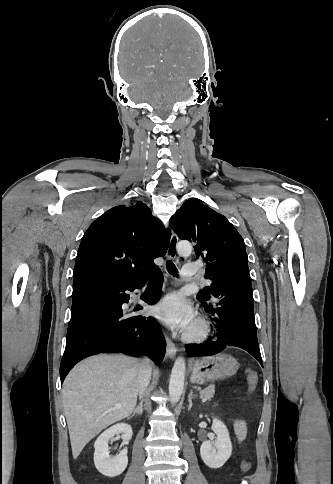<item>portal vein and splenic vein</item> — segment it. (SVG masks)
<instances>
[{"label": "portal vein and splenic vein", "instance_id": "1", "mask_svg": "<svg viewBox=\"0 0 333 484\" xmlns=\"http://www.w3.org/2000/svg\"><path fill=\"white\" fill-rule=\"evenodd\" d=\"M115 408H121V405L120 404H116L115 405Z\"/></svg>", "mask_w": 333, "mask_h": 484}]
</instances>
